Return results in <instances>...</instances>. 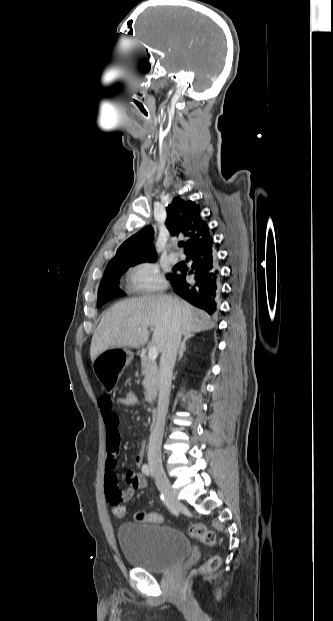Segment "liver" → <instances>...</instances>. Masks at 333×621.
Masks as SVG:
<instances>
[{"label": "liver", "mask_w": 333, "mask_h": 621, "mask_svg": "<svg viewBox=\"0 0 333 621\" xmlns=\"http://www.w3.org/2000/svg\"><path fill=\"white\" fill-rule=\"evenodd\" d=\"M174 321L190 337L215 326L205 311L169 295L129 298L114 304L101 319L92 336L90 359L94 362L109 349L140 348L148 341V327H154L152 341L157 350L163 351Z\"/></svg>", "instance_id": "liver-1"}]
</instances>
